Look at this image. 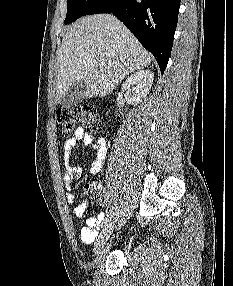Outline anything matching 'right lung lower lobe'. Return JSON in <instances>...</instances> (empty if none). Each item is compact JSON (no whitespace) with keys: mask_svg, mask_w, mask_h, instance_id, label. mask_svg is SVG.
<instances>
[{"mask_svg":"<svg viewBox=\"0 0 233 286\" xmlns=\"http://www.w3.org/2000/svg\"><path fill=\"white\" fill-rule=\"evenodd\" d=\"M180 0H98L84 15L113 13L156 58L161 74L173 46Z\"/></svg>","mask_w":233,"mask_h":286,"instance_id":"right-lung-lower-lobe-1","label":"right lung lower lobe"}]
</instances>
